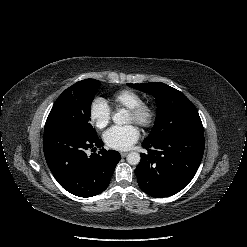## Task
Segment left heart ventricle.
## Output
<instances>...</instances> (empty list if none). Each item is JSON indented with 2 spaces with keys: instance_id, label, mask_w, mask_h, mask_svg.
I'll list each match as a JSON object with an SVG mask.
<instances>
[{
  "instance_id": "1",
  "label": "left heart ventricle",
  "mask_w": 247,
  "mask_h": 247,
  "mask_svg": "<svg viewBox=\"0 0 247 247\" xmlns=\"http://www.w3.org/2000/svg\"><path fill=\"white\" fill-rule=\"evenodd\" d=\"M126 122H128V123L134 122V117L130 112H128V114H127Z\"/></svg>"
}]
</instances>
